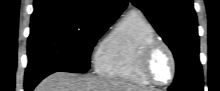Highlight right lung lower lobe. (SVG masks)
Segmentation results:
<instances>
[{
  "label": "right lung lower lobe",
  "mask_w": 220,
  "mask_h": 91,
  "mask_svg": "<svg viewBox=\"0 0 220 91\" xmlns=\"http://www.w3.org/2000/svg\"><path fill=\"white\" fill-rule=\"evenodd\" d=\"M41 80H35V81H30L26 82L25 81V91H32L33 88L40 82Z\"/></svg>",
  "instance_id": "98d812e1"
}]
</instances>
